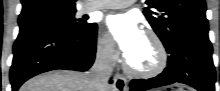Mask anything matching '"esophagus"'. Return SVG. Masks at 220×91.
<instances>
[{
	"label": "esophagus",
	"mask_w": 220,
	"mask_h": 91,
	"mask_svg": "<svg viewBox=\"0 0 220 91\" xmlns=\"http://www.w3.org/2000/svg\"><path fill=\"white\" fill-rule=\"evenodd\" d=\"M114 88L116 91H126L127 89V80L124 76L119 73H116L114 78Z\"/></svg>",
	"instance_id": "1"
}]
</instances>
